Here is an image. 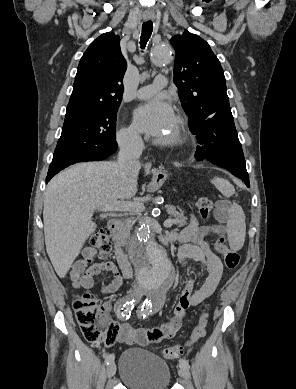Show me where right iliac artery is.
<instances>
[{
  "instance_id": "82829eb1",
  "label": "right iliac artery",
  "mask_w": 296,
  "mask_h": 389,
  "mask_svg": "<svg viewBox=\"0 0 296 389\" xmlns=\"http://www.w3.org/2000/svg\"><path fill=\"white\" fill-rule=\"evenodd\" d=\"M136 304V298L128 299V297H124L119 301L118 308H117V315L121 319H125L126 313H131L134 306ZM105 357V364L109 365L111 362L114 361V355L113 354H104Z\"/></svg>"
}]
</instances>
